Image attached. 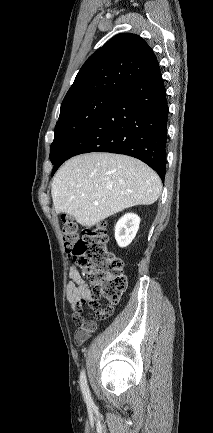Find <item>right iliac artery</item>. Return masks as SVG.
Returning a JSON list of instances; mask_svg holds the SVG:
<instances>
[{"mask_svg": "<svg viewBox=\"0 0 213 433\" xmlns=\"http://www.w3.org/2000/svg\"><path fill=\"white\" fill-rule=\"evenodd\" d=\"M80 386L86 403L88 405H92V399L87 385V380H86V375L84 370H82L80 374Z\"/></svg>", "mask_w": 213, "mask_h": 433, "instance_id": "82829eb1", "label": "right iliac artery"}]
</instances>
